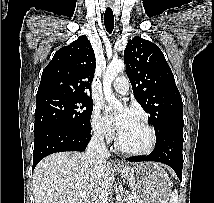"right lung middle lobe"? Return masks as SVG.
<instances>
[{"mask_svg":"<svg viewBox=\"0 0 214 203\" xmlns=\"http://www.w3.org/2000/svg\"><path fill=\"white\" fill-rule=\"evenodd\" d=\"M93 103L90 97L53 94L36 100L34 132L50 125L91 132Z\"/></svg>","mask_w":214,"mask_h":203,"instance_id":"right-lung-middle-lobe-1","label":"right lung middle lobe"}]
</instances>
